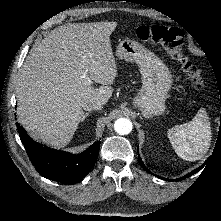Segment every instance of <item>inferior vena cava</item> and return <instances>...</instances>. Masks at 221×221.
I'll list each match as a JSON object with an SVG mask.
<instances>
[{"label":"inferior vena cava","mask_w":221,"mask_h":221,"mask_svg":"<svg viewBox=\"0 0 221 221\" xmlns=\"http://www.w3.org/2000/svg\"><path fill=\"white\" fill-rule=\"evenodd\" d=\"M83 108L87 111L101 110L103 108V103L99 100H89L84 104Z\"/></svg>","instance_id":"1"}]
</instances>
